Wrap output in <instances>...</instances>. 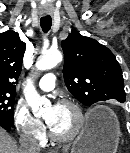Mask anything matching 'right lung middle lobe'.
Masks as SVG:
<instances>
[{
  "label": "right lung middle lobe",
  "mask_w": 130,
  "mask_h": 153,
  "mask_svg": "<svg viewBox=\"0 0 130 153\" xmlns=\"http://www.w3.org/2000/svg\"><path fill=\"white\" fill-rule=\"evenodd\" d=\"M14 95L0 93V119L14 125Z\"/></svg>",
  "instance_id": "obj_1"
}]
</instances>
